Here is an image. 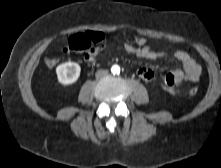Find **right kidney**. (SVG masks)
<instances>
[{
    "mask_svg": "<svg viewBox=\"0 0 221 168\" xmlns=\"http://www.w3.org/2000/svg\"><path fill=\"white\" fill-rule=\"evenodd\" d=\"M81 72V67L75 62H66L57 66L56 74L59 83L63 85H70L75 83Z\"/></svg>",
    "mask_w": 221,
    "mask_h": 168,
    "instance_id": "ca27d5eb",
    "label": "right kidney"
}]
</instances>
